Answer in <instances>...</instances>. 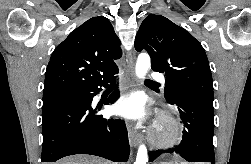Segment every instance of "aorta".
<instances>
[{"label": "aorta", "instance_id": "aorta-1", "mask_svg": "<svg viewBox=\"0 0 251 164\" xmlns=\"http://www.w3.org/2000/svg\"><path fill=\"white\" fill-rule=\"evenodd\" d=\"M151 62H150V57L147 53H141L138 58L137 62L135 65V75L138 79H143L149 68H150ZM148 161V154H147V149L145 145H140L138 152H137V157L136 161L134 164H146Z\"/></svg>", "mask_w": 251, "mask_h": 164}]
</instances>
